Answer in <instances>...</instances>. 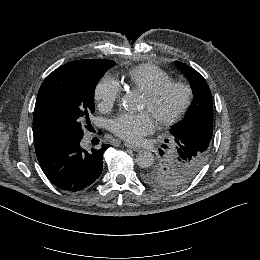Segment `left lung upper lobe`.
<instances>
[{"label":"left lung upper lobe","mask_w":260,"mask_h":260,"mask_svg":"<svg viewBox=\"0 0 260 260\" xmlns=\"http://www.w3.org/2000/svg\"><path fill=\"white\" fill-rule=\"evenodd\" d=\"M176 65L190 81L193 101L184 119L171 126V150L164 155L159 149L162 158L158 157L142 171L146 184L165 191L179 189L192 181L209 158L212 146L213 103L209 86L193 68L179 61ZM204 111L211 113V117L202 125L196 124L204 118ZM206 123L211 125L205 127Z\"/></svg>","instance_id":"1"}]
</instances>
